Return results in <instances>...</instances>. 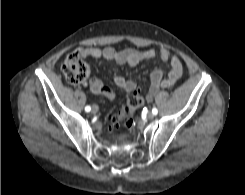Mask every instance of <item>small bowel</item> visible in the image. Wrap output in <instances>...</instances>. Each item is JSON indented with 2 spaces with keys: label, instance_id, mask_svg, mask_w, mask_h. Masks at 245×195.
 Wrapping results in <instances>:
<instances>
[{
  "label": "small bowel",
  "instance_id": "obj_1",
  "mask_svg": "<svg viewBox=\"0 0 245 195\" xmlns=\"http://www.w3.org/2000/svg\"><path fill=\"white\" fill-rule=\"evenodd\" d=\"M80 53L81 56L85 58L92 57L95 59H103L118 65L126 64L131 67L138 65L140 62L159 57L164 63H167L169 67L167 73L162 69H156L151 73L148 100H151L160 88H168L174 85L181 78L183 73V66L180 59L177 56L171 55L166 48H161L160 51L157 52L154 48L146 50H116L112 47H87L82 49ZM114 83L127 92L136 90V83L121 75L114 77ZM89 87L95 94L103 95L110 100L115 98V93L98 78H92L89 82Z\"/></svg>",
  "mask_w": 245,
  "mask_h": 195
}]
</instances>
